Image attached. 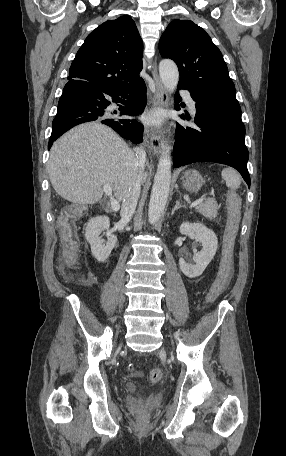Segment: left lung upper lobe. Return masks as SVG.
Here are the masks:
<instances>
[{
  "instance_id": "5c2ea615",
  "label": "left lung upper lobe",
  "mask_w": 286,
  "mask_h": 456,
  "mask_svg": "<svg viewBox=\"0 0 286 456\" xmlns=\"http://www.w3.org/2000/svg\"><path fill=\"white\" fill-rule=\"evenodd\" d=\"M159 52L177 64L178 86L195 97L241 111L222 53L201 27L190 20L172 21L160 39Z\"/></svg>"
}]
</instances>
